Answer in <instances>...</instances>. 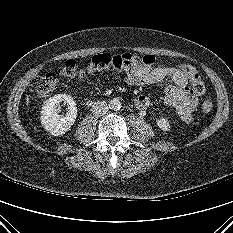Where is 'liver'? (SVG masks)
Returning <instances> with one entry per match:
<instances>
[{
    "instance_id": "obj_1",
    "label": "liver",
    "mask_w": 233,
    "mask_h": 233,
    "mask_svg": "<svg viewBox=\"0 0 233 233\" xmlns=\"http://www.w3.org/2000/svg\"><path fill=\"white\" fill-rule=\"evenodd\" d=\"M29 102H30L29 96H27V97H26V104H27V106L29 105Z\"/></svg>"
}]
</instances>
